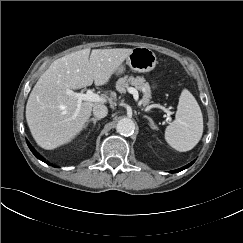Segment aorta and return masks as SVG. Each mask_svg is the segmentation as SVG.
I'll return each mask as SVG.
<instances>
[{
	"label": "aorta",
	"mask_w": 243,
	"mask_h": 243,
	"mask_svg": "<svg viewBox=\"0 0 243 243\" xmlns=\"http://www.w3.org/2000/svg\"><path fill=\"white\" fill-rule=\"evenodd\" d=\"M116 130L123 136H130L134 133L135 123L130 118H122L118 121Z\"/></svg>",
	"instance_id": "aorta-1"
}]
</instances>
